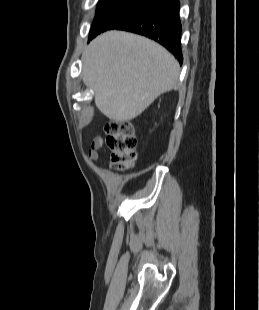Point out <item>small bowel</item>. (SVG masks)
<instances>
[{"instance_id":"obj_1","label":"small bowel","mask_w":259,"mask_h":310,"mask_svg":"<svg viewBox=\"0 0 259 310\" xmlns=\"http://www.w3.org/2000/svg\"><path fill=\"white\" fill-rule=\"evenodd\" d=\"M104 147V139L102 137L94 138L91 148L88 152V157L92 161H97L100 157V150Z\"/></svg>"}]
</instances>
